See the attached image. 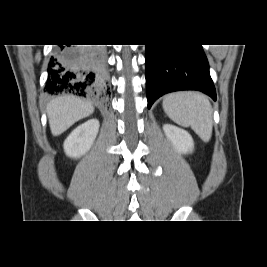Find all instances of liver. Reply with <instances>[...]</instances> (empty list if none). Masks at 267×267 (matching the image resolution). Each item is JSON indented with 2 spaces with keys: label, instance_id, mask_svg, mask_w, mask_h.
<instances>
[{
  "label": "liver",
  "instance_id": "6515ba94",
  "mask_svg": "<svg viewBox=\"0 0 267 267\" xmlns=\"http://www.w3.org/2000/svg\"><path fill=\"white\" fill-rule=\"evenodd\" d=\"M47 115L53 136H59L77 121L94 112L93 105L73 95L59 96L47 105Z\"/></svg>",
  "mask_w": 267,
  "mask_h": 267
}]
</instances>
